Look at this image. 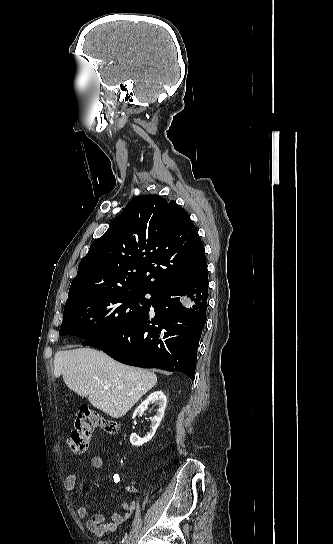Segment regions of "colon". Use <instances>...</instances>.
Returning <instances> with one entry per match:
<instances>
[{
  "label": "colon",
  "mask_w": 333,
  "mask_h": 544,
  "mask_svg": "<svg viewBox=\"0 0 333 544\" xmlns=\"http://www.w3.org/2000/svg\"><path fill=\"white\" fill-rule=\"evenodd\" d=\"M97 428L109 434H116L119 425L115 420L105 417L96 410L88 407L81 408L74 429L68 438L70 450L75 454H82L89 445L93 431Z\"/></svg>",
  "instance_id": "obj_1"
}]
</instances>
